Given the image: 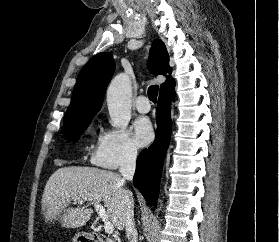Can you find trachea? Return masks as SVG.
<instances>
[{
	"instance_id": "obj_1",
	"label": "trachea",
	"mask_w": 279,
	"mask_h": 242,
	"mask_svg": "<svg viewBox=\"0 0 279 242\" xmlns=\"http://www.w3.org/2000/svg\"><path fill=\"white\" fill-rule=\"evenodd\" d=\"M158 89V85H152L148 88V97L153 103L157 101Z\"/></svg>"
}]
</instances>
